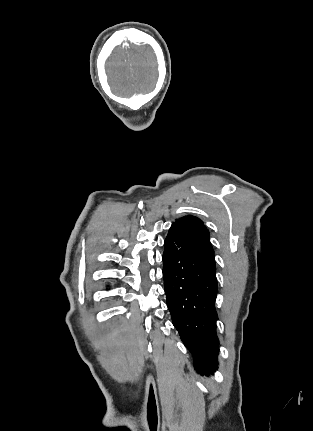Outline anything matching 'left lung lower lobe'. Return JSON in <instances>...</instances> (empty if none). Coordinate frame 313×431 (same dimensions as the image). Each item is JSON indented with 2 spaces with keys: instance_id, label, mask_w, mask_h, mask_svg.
Masks as SVG:
<instances>
[{
  "instance_id": "1",
  "label": "left lung lower lobe",
  "mask_w": 313,
  "mask_h": 431,
  "mask_svg": "<svg viewBox=\"0 0 313 431\" xmlns=\"http://www.w3.org/2000/svg\"><path fill=\"white\" fill-rule=\"evenodd\" d=\"M164 246V289L172 323L191 352L195 369L204 375L216 366L219 354L214 253L175 227Z\"/></svg>"
}]
</instances>
